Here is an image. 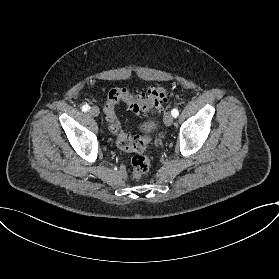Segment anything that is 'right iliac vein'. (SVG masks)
I'll list each match as a JSON object with an SVG mask.
<instances>
[{"label":"right iliac vein","instance_id":"1","mask_svg":"<svg viewBox=\"0 0 279 279\" xmlns=\"http://www.w3.org/2000/svg\"><path fill=\"white\" fill-rule=\"evenodd\" d=\"M99 113H100V111H99L98 107H96V106L91 107L90 114L92 116L96 117L99 115Z\"/></svg>","mask_w":279,"mask_h":279}]
</instances>
